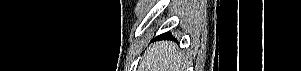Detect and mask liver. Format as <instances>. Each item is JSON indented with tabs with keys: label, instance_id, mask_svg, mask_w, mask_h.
<instances>
[{
	"label": "liver",
	"instance_id": "obj_1",
	"mask_svg": "<svg viewBox=\"0 0 301 71\" xmlns=\"http://www.w3.org/2000/svg\"><path fill=\"white\" fill-rule=\"evenodd\" d=\"M184 55L173 42H156L145 52L138 71H183Z\"/></svg>",
	"mask_w": 301,
	"mask_h": 71
}]
</instances>
